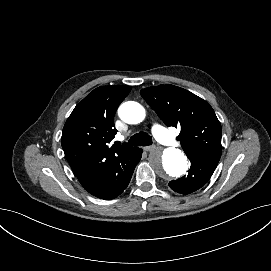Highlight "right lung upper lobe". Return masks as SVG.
I'll return each instance as SVG.
<instances>
[{"label": "right lung upper lobe", "instance_id": "cb5924a9", "mask_svg": "<svg viewBox=\"0 0 271 271\" xmlns=\"http://www.w3.org/2000/svg\"><path fill=\"white\" fill-rule=\"evenodd\" d=\"M131 90L108 85L94 89L72 111L62 133L65 156L82 186L90 183L108 165L126 157L136 147L112 145L117 133L114 114Z\"/></svg>", "mask_w": 271, "mask_h": 271}]
</instances>
